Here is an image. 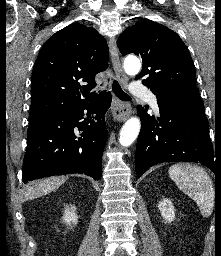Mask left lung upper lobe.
Returning <instances> with one entry per match:
<instances>
[{"instance_id":"left-lung-upper-lobe-1","label":"left lung upper lobe","mask_w":221,"mask_h":256,"mask_svg":"<svg viewBox=\"0 0 221 256\" xmlns=\"http://www.w3.org/2000/svg\"><path fill=\"white\" fill-rule=\"evenodd\" d=\"M118 47L123 55L142 58L143 68L135 79L146 76L142 83L156 97L200 102L192 58L174 31L150 20L138 21L120 35Z\"/></svg>"}]
</instances>
